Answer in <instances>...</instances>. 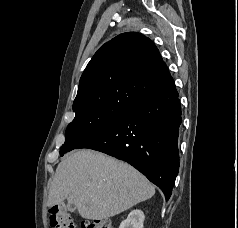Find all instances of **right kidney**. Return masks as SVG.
<instances>
[{
    "label": "right kidney",
    "instance_id": "right-kidney-1",
    "mask_svg": "<svg viewBox=\"0 0 238 228\" xmlns=\"http://www.w3.org/2000/svg\"><path fill=\"white\" fill-rule=\"evenodd\" d=\"M144 213L139 210H133L129 213L127 219L121 222L119 228H143Z\"/></svg>",
    "mask_w": 238,
    "mask_h": 228
}]
</instances>
